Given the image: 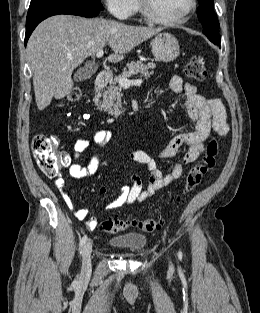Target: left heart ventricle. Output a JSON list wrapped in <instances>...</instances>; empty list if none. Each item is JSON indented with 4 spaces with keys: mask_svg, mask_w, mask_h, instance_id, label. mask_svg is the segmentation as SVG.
I'll return each instance as SVG.
<instances>
[{
    "mask_svg": "<svg viewBox=\"0 0 260 313\" xmlns=\"http://www.w3.org/2000/svg\"><path fill=\"white\" fill-rule=\"evenodd\" d=\"M154 13L162 18H173L182 14L190 0H149Z\"/></svg>",
    "mask_w": 260,
    "mask_h": 313,
    "instance_id": "b2bd125f",
    "label": "left heart ventricle"
}]
</instances>
